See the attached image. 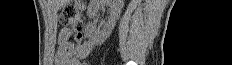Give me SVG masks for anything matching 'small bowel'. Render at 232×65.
Returning <instances> with one entry per match:
<instances>
[{
	"label": "small bowel",
	"mask_w": 232,
	"mask_h": 65,
	"mask_svg": "<svg viewBox=\"0 0 232 65\" xmlns=\"http://www.w3.org/2000/svg\"><path fill=\"white\" fill-rule=\"evenodd\" d=\"M69 30H62L60 33V45L58 60L67 65H79V60L86 57L93 49V44L86 41L79 46H74L68 41Z\"/></svg>",
	"instance_id": "small-bowel-1"
}]
</instances>
